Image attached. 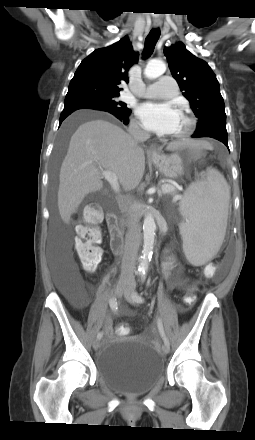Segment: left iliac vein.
<instances>
[{"label":"left iliac vein","mask_w":255,"mask_h":440,"mask_svg":"<svg viewBox=\"0 0 255 440\" xmlns=\"http://www.w3.org/2000/svg\"><path fill=\"white\" fill-rule=\"evenodd\" d=\"M135 294H136V293H135V291H134L133 285H130V286H128V288H127L126 291L124 292V297H125V299H126L129 303L136 304L137 302H136V300L134 299ZM162 351H163L165 354H168L169 351H170V347H169V345L164 344V345L162 346Z\"/></svg>","instance_id":"left-iliac-vein-1"}]
</instances>
